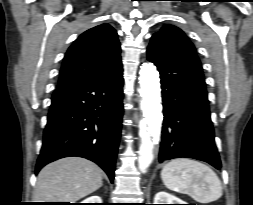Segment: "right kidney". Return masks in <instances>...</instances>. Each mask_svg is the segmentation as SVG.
I'll return each mask as SVG.
<instances>
[{"mask_svg":"<svg viewBox=\"0 0 253 205\" xmlns=\"http://www.w3.org/2000/svg\"><path fill=\"white\" fill-rule=\"evenodd\" d=\"M81 203H102V199L99 196H91L89 198H86Z\"/></svg>","mask_w":253,"mask_h":205,"instance_id":"obj_1","label":"right kidney"}]
</instances>
